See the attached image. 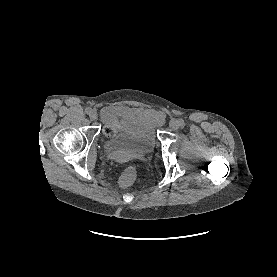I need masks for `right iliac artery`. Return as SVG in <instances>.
Masks as SVG:
<instances>
[{
  "label": "right iliac artery",
  "instance_id": "right-iliac-artery-1",
  "mask_svg": "<svg viewBox=\"0 0 277 277\" xmlns=\"http://www.w3.org/2000/svg\"><path fill=\"white\" fill-rule=\"evenodd\" d=\"M86 114H90L92 112V109L90 107H87L85 109Z\"/></svg>",
  "mask_w": 277,
  "mask_h": 277
}]
</instances>
